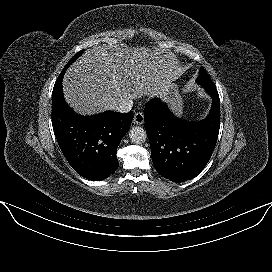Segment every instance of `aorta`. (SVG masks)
Here are the masks:
<instances>
[{
  "label": "aorta",
  "mask_w": 272,
  "mask_h": 272,
  "mask_svg": "<svg viewBox=\"0 0 272 272\" xmlns=\"http://www.w3.org/2000/svg\"><path fill=\"white\" fill-rule=\"evenodd\" d=\"M129 138L135 144H142L146 141L147 134L144 128L135 126L129 130Z\"/></svg>",
  "instance_id": "762f6f07"
}]
</instances>
